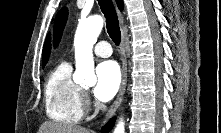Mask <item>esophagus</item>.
<instances>
[{
	"label": "esophagus",
	"instance_id": "obj_1",
	"mask_svg": "<svg viewBox=\"0 0 221 133\" xmlns=\"http://www.w3.org/2000/svg\"><path fill=\"white\" fill-rule=\"evenodd\" d=\"M117 13H118V18H119V23L121 26V32H122V38H121V44H120V55H121V61H122V81H121V85H120V89L117 94V97L105 115V118L102 122L103 125L115 114V112L119 108L123 100L124 93L126 90V85H127V57L125 53L124 17L120 11H118Z\"/></svg>",
	"mask_w": 221,
	"mask_h": 133
}]
</instances>
